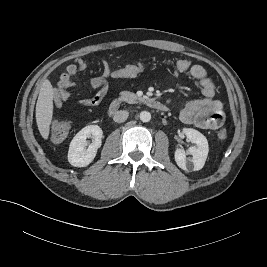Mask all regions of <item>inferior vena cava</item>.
I'll return each instance as SVG.
<instances>
[{"instance_id":"inferior-vena-cava-1","label":"inferior vena cava","mask_w":267,"mask_h":267,"mask_svg":"<svg viewBox=\"0 0 267 267\" xmlns=\"http://www.w3.org/2000/svg\"><path fill=\"white\" fill-rule=\"evenodd\" d=\"M129 116V113L128 111L126 110H120V111H117L113 117V120L117 123H121V122H124Z\"/></svg>"}]
</instances>
